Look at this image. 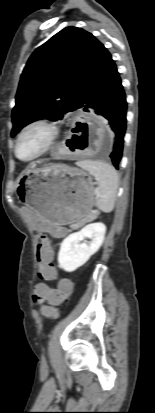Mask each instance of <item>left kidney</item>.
Instances as JSON below:
<instances>
[{"label": "left kidney", "mask_w": 155, "mask_h": 413, "mask_svg": "<svg viewBox=\"0 0 155 413\" xmlns=\"http://www.w3.org/2000/svg\"><path fill=\"white\" fill-rule=\"evenodd\" d=\"M105 233L106 226L97 222L67 236L61 243L58 253L59 267L67 272H73L84 265L101 247ZM85 238H90L91 241L82 242Z\"/></svg>", "instance_id": "left-kidney-1"}]
</instances>
